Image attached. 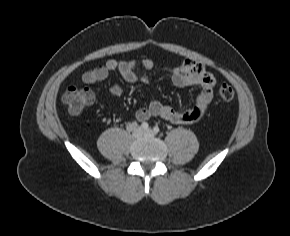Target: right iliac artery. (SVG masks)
<instances>
[{
	"instance_id": "right-iliac-artery-1",
	"label": "right iliac artery",
	"mask_w": 290,
	"mask_h": 236,
	"mask_svg": "<svg viewBox=\"0 0 290 236\" xmlns=\"http://www.w3.org/2000/svg\"><path fill=\"white\" fill-rule=\"evenodd\" d=\"M136 126H137V125H136ZM141 128L144 129V130H147V129L149 128V124H148L147 122H143V123L141 124ZM135 129H136V127H135Z\"/></svg>"
}]
</instances>
